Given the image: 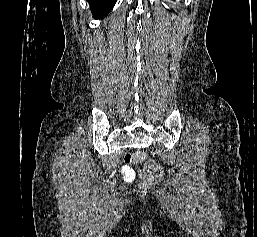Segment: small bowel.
<instances>
[{"mask_svg":"<svg viewBox=\"0 0 257 237\" xmlns=\"http://www.w3.org/2000/svg\"><path fill=\"white\" fill-rule=\"evenodd\" d=\"M122 172H123L126 179H128V180L134 179V176H135L134 172L129 166H127V165L123 166L122 167Z\"/></svg>","mask_w":257,"mask_h":237,"instance_id":"1","label":"small bowel"}]
</instances>
